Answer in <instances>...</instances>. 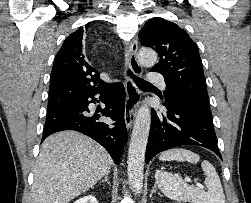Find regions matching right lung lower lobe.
Listing matches in <instances>:
<instances>
[{
	"label": "right lung lower lobe",
	"instance_id": "obj_1",
	"mask_svg": "<svg viewBox=\"0 0 251 203\" xmlns=\"http://www.w3.org/2000/svg\"><path fill=\"white\" fill-rule=\"evenodd\" d=\"M100 94L105 104L101 111L92 112L88 105L95 103L94 96ZM125 90L122 83H114L100 89L90 90L75 101L48 110L42 141L49 135L74 130L90 136L101 144L118 164L127 140L124 122ZM100 112V113H99ZM115 121L113 125L104 123L102 117Z\"/></svg>",
	"mask_w": 251,
	"mask_h": 203
}]
</instances>
